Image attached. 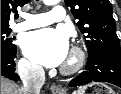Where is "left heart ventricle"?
<instances>
[{
	"instance_id": "1",
	"label": "left heart ventricle",
	"mask_w": 121,
	"mask_h": 94,
	"mask_svg": "<svg viewBox=\"0 0 121 94\" xmlns=\"http://www.w3.org/2000/svg\"><path fill=\"white\" fill-rule=\"evenodd\" d=\"M69 58H70V55H68V57H67V59H66L65 63L69 60Z\"/></svg>"
}]
</instances>
